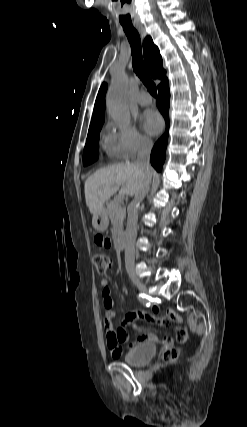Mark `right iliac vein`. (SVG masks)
Listing matches in <instances>:
<instances>
[{
	"label": "right iliac vein",
	"mask_w": 247,
	"mask_h": 427,
	"mask_svg": "<svg viewBox=\"0 0 247 427\" xmlns=\"http://www.w3.org/2000/svg\"><path fill=\"white\" fill-rule=\"evenodd\" d=\"M132 282L145 295H149L147 287L136 277H132Z\"/></svg>",
	"instance_id": "1"
}]
</instances>
